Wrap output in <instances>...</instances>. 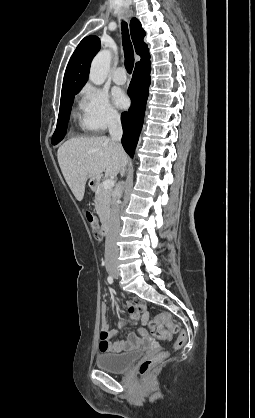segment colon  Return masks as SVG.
<instances>
[{
  "instance_id": "5ec220e1",
  "label": "colon",
  "mask_w": 255,
  "mask_h": 418,
  "mask_svg": "<svg viewBox=\"0 0 255 418\" xmlns=\"http://www.w3.org/2000/svg\"><path fill=\"white\" fill-rule=\"evenodd\" d=\"M85 218L92 228L96 238L99 237V227L95 216L90 211H86ZM149 327L152 334L160 339H169L171 334H178L173 345V349H180L187 340V334L182 330L173 317L168 313H160L149 321ZM169 353L167 351L160 352L153 357L143 360L138 366V372L141 375L148 373L155 365L163 361Z\"/></svg>"
}]
</instances>
